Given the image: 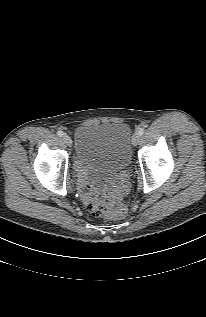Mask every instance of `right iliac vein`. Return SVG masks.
<instances>
[{
	"label": "right iliac vein",
	"instance_id": "63e3f726",
	"mask_svg": "<svg viewBox=\"0 0 206 317\" xmlns=\"http://www.w3.org/2000/svg\"><path fill=\"white\" fill-rule=\"evenodd\" d=\"M63 141L65 142L66 145L71 146L72 145V140L68 135H63Z\"/></svg>",
	"mask_w": 206,
	"mask_h": 317
}]
</instances>
